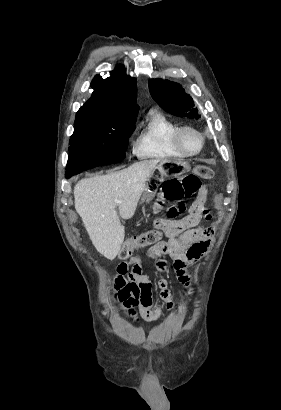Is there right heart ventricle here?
<instances>
[{"mask_svg":"<svg viewBox=\"0 0 281 410\" xmlns=\"http://www.w3.org/2000/svg\"><path fill=\"white\" fill-rule=\"evenodd\" d=\"M180 126L159 111L149 112L137 139L135 152L140 159H173L185 157L174 144Z\"/></svg>","mask_w":281,"mask_h":410,"instance_id":"1","label":"right heart ventricle"}]
</instances>
